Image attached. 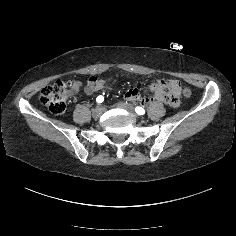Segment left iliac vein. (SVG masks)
Instances as JSON below:
<instances>
[{
	"label": "left iliac vein",
	"mask_w": 236,
	"mask_h": 236,
	"mask_svg": "<svg viewBox=\"0 0 236 236\" xmlns=\"http://www.w3.org/2000/svg\"><path fill=\"white\" fill-rule=\"evenodd\" d=\"M117 107L128 111L132 115L133 118H135V119L139 118V116L134 112L132 105H130L128 103H124V102H119L117 104Z\"/></svg>",
	"instance_id": "left-iliac-vein-1"
}]
</instances>
